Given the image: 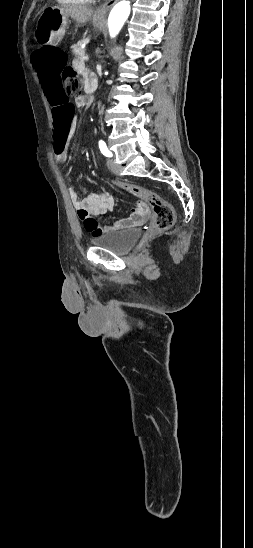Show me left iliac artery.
<instances>
[{
  "mask_svg": "<svg viewBox=\"0 0 253 548\" xmlns=\"http://www.w3.org/2000/svg\"><path fill=\"white\" fill-rule=\"evenodd\" d=\"M99 148L101 153L106 157H112V153L109 151V149L106 146V143L104 141H99Z\"/></svg>",
  "mask_w": 253,
  "mask_h": 548,
  "instance_id": "obj_1",
  "label": "left iliac artery"
}]
</instances>
